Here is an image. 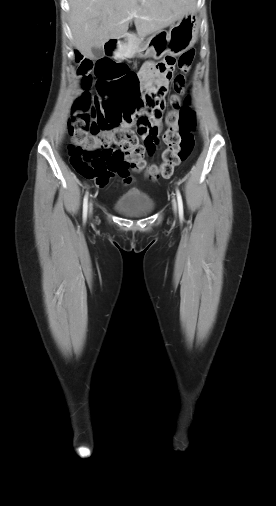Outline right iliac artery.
I'll return each instance as SVG.
<instances>
[{"label": "right iliac artery", "mask_w": 276, "mask_h": 506, "mask_svg": "<svg viewBox=\"0 0 276 506\" xmlns=\"http://www.w3.org/2000/svg\"><path fill=\"white\" fill-rule=\"evenodd\" d=\"M88 211V193H86L83 200V220L86 221Z\"/></svg>", "instance_id": "right-iliac-artery-1"}]
</instances>
